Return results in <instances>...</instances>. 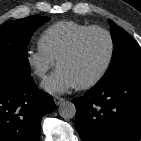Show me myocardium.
Wrapping results in <instances>:
<instances>
[{
  "mask_svg": "<svg viewBox=\"0 0 141 141\" xmlns=\"http://www.w3.org/2000/svg\"><path fill=\"white\" fill-rule=\"evenodd\" d=\"M92 32H101L106 35L109 42V52L107 59L104 65L102 66V68L99 70V72L90 80L77 84V87L79 89H88L94 87L105 77L108 70L110 69L115 55V41L112 33L104 27L91 26L86 30L82 31L79 35H77L75 39L71 42V44L67 47V49L57 59V65H58L62 60L72 56L77 51V49L81 45L82 41L86 38V36H88Z\"/></svg>",
  "mask_w": 141,
  "mask_h": 141,
  "instance_id": "obj_1",
  "label": "myocardium"
}]
</instances>
